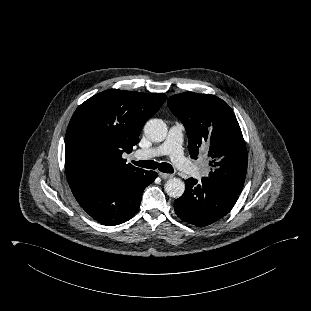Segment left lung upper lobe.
Here are the masks:
<instances>
[{
	"mask_svg": "<svg viewBox=\"0 0 311 311\" xmlns=\"http://www.w3.org/2000/svg\"><path fill=\"white\" fill-rule=\"evenodd\" d=\"M185 126L190 156L207 153L212 167L207 176L240 194L247 171V150L236 116L228 104L210 94L185 92L167 102Z\"/></svg>",
	"mask_w": 311,
	"mask_h": 311,
	"instance_id": "obj_1",
	"label": "left lung upper lobe"
}]
</instances>
